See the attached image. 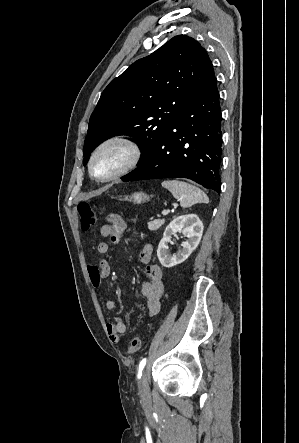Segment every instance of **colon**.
Wrapping results in <instances>:
<instances>
[{"instance_id": "obj_1", "label": "colon", "mask_w": 299, "mask_h": 443, "mask_svg": "<svg viewBox=\"0 0 299 443\" xmlns=\"http://www.w3.org/2000/svg\"><path fill=\"white\" fill-rule=\"evenodd\" d=\"M77 210L80 216V224L82 229L87 230L96 225L97 215L94 207L91 204L87 202H81L79 203ZM141 345L142 340L140 337L133 338L130 342L128 352L130 354L137 353L140 350Z\"/></svg>"}]
</instances>
